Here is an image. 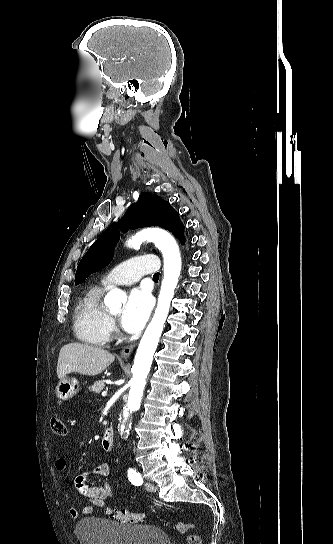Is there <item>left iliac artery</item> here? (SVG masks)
<instances>
[{
  "instance_id": "left-iliac-artery-1",
  "label": "left iliac artery",
  "mask_w": 333,
  "mask_h": 544,
  "mask_svg": "<svg viewBox=\"0 0 333 544\" xmlns=\"http://www.w3.org/2000/svg\"><path fill=\"white\" fill-rule=\"evenodd\" d=\"M127 475H128L129 481H130L133 485H135V486H140V485H142L143 479H142L140 473L136 471V469L129 468V469H128V472H127Z\"/></svg>"
}]
</instances>
